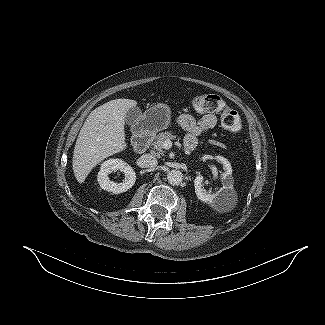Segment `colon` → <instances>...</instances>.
Returning <instances> with one entry per match:
<instances>
[{
  "label": "colon",
  "instance_id": "obj_1",
  "mask_svg": "<svg viewBox=\"0 0 325 325\" xmlns=\"http://www.w3.org/2000/svg\"><path fill=\"white\" fill-rule=\"evenodd\" d=\"M191 106L198 113H219L223 127L232 133L241 130L242 124L238 112L216 94L195 96L191 100Z\"/></svg>",
  "mask_w": 325,
  "mask_h": 325
}]
</instances>
